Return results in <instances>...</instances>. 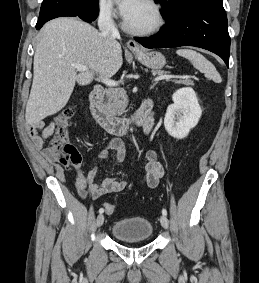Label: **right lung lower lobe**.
Segmentation results:
<instances>
[{"label":"right lung lower lobe","mask_w":259,"mask_h":283,"mask_svg":"<svg viewBox=\"0 0 259 283\" xmlns=\"http://www.w3.org/2000/svg\"><path fill=\"white\" fill-rule=\"evenodd\" d=\"M98 0H44L36 29L47 21L61 16H79L91 23L98 16Z\"/></svg>","instance_id":"98d812e1"}]
</instances>
